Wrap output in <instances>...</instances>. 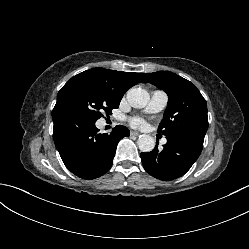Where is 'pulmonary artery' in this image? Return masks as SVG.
Listing matches in <instances>:
<instances>
[{"label":"pulmonary artery","mask_w":249,"mask_h":249,"mask_svg":"<svg viewBox=\"0 0 249 249\" xmlns=\"http://www.w3.org/2000/svg\"><path fill=\"white\" fill-rule=\"evenodd\" d=\"M168 101V96L165 92L157 90L151 95V99L146 107V112L157 113L162 111ZM162 143H166V139H162Z\"/></svg>","instance_id":"1"}]
</instances>
